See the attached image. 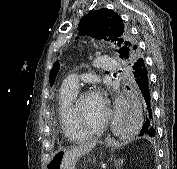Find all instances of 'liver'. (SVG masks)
<instances>
[{
	"instance_id": "6515ba94",
	"label": "liver",
	"mask_w": 177,
	"mask_h": 169,
	"mask_svg": "<svg viewBox=\"0 0 177 169\" xmlns=\"http://www.w3.org/2000/svg\"><path fill=\"white\" fill-rule=\"evenodd\" d=\"M96 145V142L87 143L79 147L73 148L69 151L64 152L60 168L61 169H75L77 160L90 152Z\"/></svg>"
}]
</instances>
